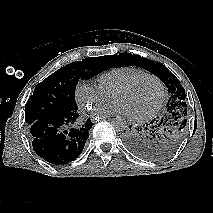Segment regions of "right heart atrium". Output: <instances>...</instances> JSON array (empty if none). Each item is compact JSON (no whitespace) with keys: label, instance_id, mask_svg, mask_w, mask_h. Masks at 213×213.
<instances>
[{"label":"right heart atrium","instance_id":"1","mask_svg":"<svg viewBox=\"0 0 213 213\" xmlns=\"http://www.w3.org/2000/svg\"><path fill=\"white\" fill-rule=\"evenodd\" d=\"M75 99L80 109L91 110L95 105L107 103L110 100V95L100 85L90 81H82L75 88Z\"/></svg>","mask_w":213,"mask_h":213}]
</instances>
